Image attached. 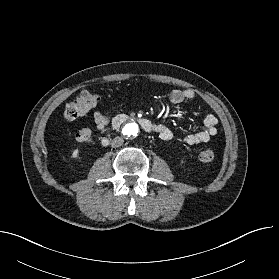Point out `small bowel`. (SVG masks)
Instances as JSON below:
<instances>
[{
	"label": "small bowel",
	"mask_w": 279,
	"mask_h": 279,
	"mask_svg": "<svg viewBox=\"0 0 279 279\" xmlns=\"http://www.w3.org/2000/svg\"><path fill=\"white\" fill-rule=\"evenodd\" d=\"M195 97V92L192 89H175L170 93V101L173 105H178L186 100H191ZM93 120L96 127L101 132H106L110 124V117L100 111L93 114ZM153 131L157 133L160 139L170 141L174 139V133L167 123H153ZM217 118L210 112L205 111L203 115V125L194 126L192 132L180 138V141L188 145H197L206 143L211 137L217 134Z\"/></svg>",
	"instance_id": "obj_1"
}]
</instances>
